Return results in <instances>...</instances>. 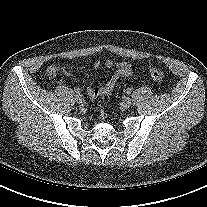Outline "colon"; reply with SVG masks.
Instances as JSON below:
<instances>
[{
	"label": "colon",
	"instance_id": "1",
	"mask_svg": "<svg viewBox=\"0 0 207 207\" xmlns=\"http://www.w3.org/2000/svg\"><path fill=\"white\" fill-rule=\"evenodd\" d=\"M148 74L155 81H161L164 77L163 72L160 69L155 68V67H150L148 69Z\"/></svg>",
	"mask_w": 207,
	"mask_h": 207
}]
</instances>
